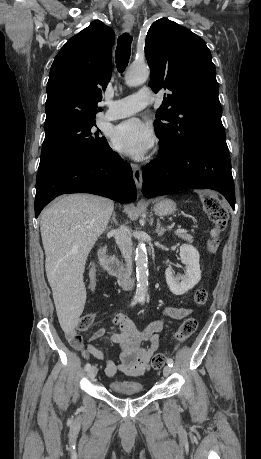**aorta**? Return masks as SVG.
<instances>
[{"label": "aorta", "mask_w": 261, "mask_h": 459, "mask_svg": "<svg viewBox=\"0 0 261 459\" xmlns=\"http://www.w3.org/2000/svg\"><path fill=\"white\" fill-rule=\"evenodd\" d=\"M150 71L147 65H132L125 74L127 86L135 87L145 83ZM137 290L136 299L144 300L148 290V257L143 241L139 242L135 251Z\"/></svg>", "instance_id": "obj_1"}]
</instances>
